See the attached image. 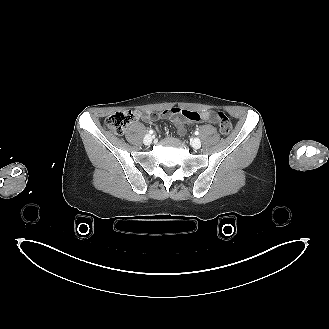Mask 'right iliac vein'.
Instances as JSON below:
<instances>
[{
	"label": "right iliac vein",
	"instance_id": "63e3f726",
	"mask_svg": "<svg viewBox=\"0 0 329 329\" xmlns=\"http://www.w3.org/2000/svg\"><path fill=\"white\" fill-rule=\"evenodd\" d=\"M151 142H152V136L149 135V134H147V135L144 137V139H143V143H144L145 145H149V144H151Z\"/></svg>",
	"mask_w": 329,
	"mask_h": 329
}]
</instances>
